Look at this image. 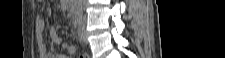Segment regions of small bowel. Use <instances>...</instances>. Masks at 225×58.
I'll return each instance as SVG.
<instances>
[{"mask_svg": "<svg viewBox=\"0 0 225 58\" xmlns=\"http://www.w3.org/2000/svg\"><path fill=\"white\" fill-rule=\"evenodd\" d=\"M37 28L40 32H43L46 29V23L43 19L37 20ZM49 35L52 39V42L64 49L69 55L76 54V47L73 44L63 41L58 36L54 26H50ZM39 51L42 55V58H68L66 55L58 54L54 50L48 51L44 44H40Z\"/></svg>", "mask_w": 225, "mask_h": 58, "instance_id": "small-bowel-1", "label": "small bowel"}]
</instances>
